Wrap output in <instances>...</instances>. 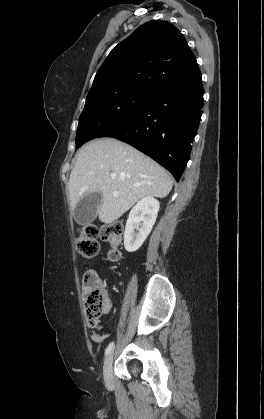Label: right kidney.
I'll use <instances>...</instances> for the list:
<instances>
[{"label":"right kidney","instance_id":"obj_1","mask_svg":"<svg viewBox=\"0 0 264 419\" xmlns=\"http://www.w3.org/2000/svg\"><path fill=\"white\" fill-rule=\"evenodd\" d=\"M159 207L158 200L147 196L132 208L124 232V246L128 252H135L142 246L156 221Z\"/></svg>","mask_w":264,"mask_h":419}]
</instances>
